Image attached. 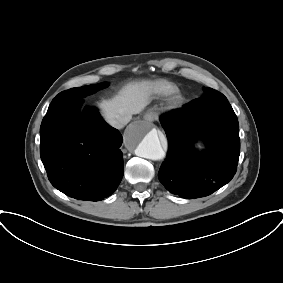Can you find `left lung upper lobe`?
I'll use <instances>...</instances> for the list:
<instances>
[{"instance_id": "1", "label": "left lung upper lobe", "mask_w": 283, "mask_h": 283, "mask_svg": "<svg viewBox=\"0 0 283 283\" xmlns=\"http://www.w3.org/2000/svg\"><path fill=\"white\" fill-rule=\"evenodd\" d=\"M216 93H219V94H222L214 89H211V88H206L204 90V94L205 95H213V94H216ZM223 95V94H222ZM224 96V95H223ZM225 97V96H224ZM226 98V97H225ZM231 125L232 126H235V127H239V124H238V119L237 117L235 116V118L231 121Z\"/></svg>"}]
</instances>
